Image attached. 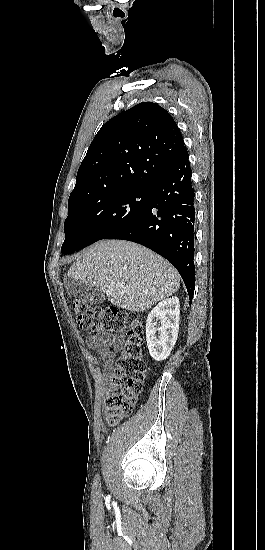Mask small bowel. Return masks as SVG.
<instances>
[{"mask_svg": "<svg viewBox=\"0 0 265 550\" xmlns=\"http://www.w3.org/2000/svg\"><path fill=\"white\" fill-rule=\"evenodd\" d=\"M124 342L122 336H111L99 334L87 338L89 348L95 351L101 358L106 369H109L115 357V350H118ZM91 361L95 360L93 355L89 356Z\"/></svg>", "mask_w": 265, "mask_h": 550, "instance_id": "1", "label": "small bowel"}]
</instances>
